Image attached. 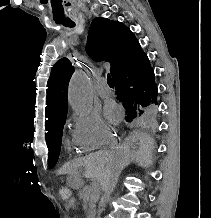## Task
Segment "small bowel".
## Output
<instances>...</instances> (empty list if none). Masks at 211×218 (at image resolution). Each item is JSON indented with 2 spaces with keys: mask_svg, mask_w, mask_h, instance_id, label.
Here are the masks:
<instances>
[{
  "mask_svg": "<svg viewBox=\"0 0 211 218\" xmlns=\"http://www.w3.org/2000/svg\"><path fill=\"white\" fill-rule=\"evenodd\" d=\"M66 206H67L68 208L74 207V206H75V201H74L73 199L67 201Z\"/></svg>",
  "mask_w": 211,
  "mask_h": 218,
  "instance_id": "1",
  "label": "small bowel"
}]
</instances>
